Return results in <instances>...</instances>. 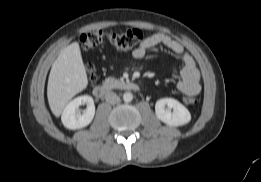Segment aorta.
<instances>
[{"label": "aorta", "mask_w": 261, "mask_h": 182, "mask_svg": "<svg viewBox=\"0 0 261 182\" xmlns=\"http://www.w3.org/2000/svg\"><path fill=\"white\" fill-rule=\"evenodd\" d=\"M132 99H133V95H132L131 92H126V93L123 94V100L125 102H131Z\"/></svg>", "instance_id": "762f6f07"}]
</instances>
